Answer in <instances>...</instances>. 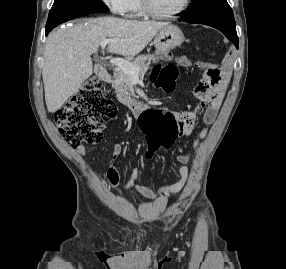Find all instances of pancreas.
<instances>
[{
	"instance_id": "obj_1",
	"label": "pancreas",
	"mask_w": 286,
	"mask_h": 269,
	"mask_svg": "<svg viewBox=\"0 0 286 269\" xmlns=\"http://www.w3.org/2000/svg\"><path fill=\"white\" fill-rule=\"evenodd\" d=\"M151 61L156 62L154 55H140L131 64L138 68V75H143L147 72ZM112 86L116 90L118 100L122 103L128 102L132 96H135L131 76L120 68L115 69Z\"/></svg>"
}]
</instances>
